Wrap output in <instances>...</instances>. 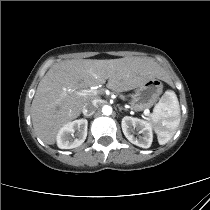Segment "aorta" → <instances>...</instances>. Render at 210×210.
I'll list each match as a JSON object with an SVG mask.
<instances>
[{
  "mask_svg": "<svg viewBox=\"0 0 210 210\" xmlns=\"http://www.w3.org/2000/svg\"><path fill=\"white\" fill-rule=\"evenodd\" d=\"M102 112L104 115H111L112 114V107L111 106H108V105H105L103 106L102 108Z\"/></svg>",
  "mask_w": 210,
  "mask_h": 210,
  "instance_id": "762f6f07",
  "label": "aorta"
}]
</instances>
